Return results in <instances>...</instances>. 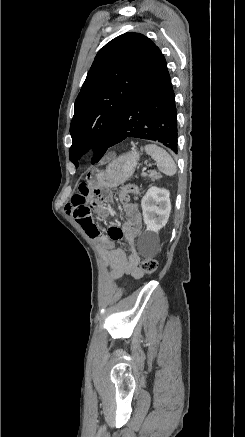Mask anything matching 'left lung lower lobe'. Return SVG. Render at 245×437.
<instances>
[{
    "instance_id": "0a47b994",
    "label": "left lung lower lobe",
    "mask_w": 245,
    "mask_h": 437,
    "mask_svg": "<svg viewBox=\"0 0 245 437\" xmlns=\"http://www.w3.org/2000/svg\"><path fill=\"white\" fill-rule=\"evenodd\" d=\"M176 116L171 78L159 50L128 98L109 147L135 137L161 142L177 152Z\"/></svg>"
}]
</instances>
